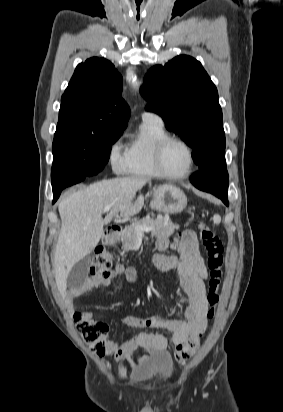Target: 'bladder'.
Here are the masks:
<instances>
[{
  "label": "bladder",
  "mask_w": 283,
  "mask_h": 412,
  "mask_svg": "<svg viewBox=\"0 0 283 412\" xmlns=\"http://www.w3.org/2000/svg\"><path fill=\"white\" fill-rule=\"evenodd\" d=\"M174 374V364L170 358H164L158 362L153 363L144 372L134 375V379L139 382H145L157 375L158 377L169 380Z\"/></svg>",
  "instance_id": "31cf9c89"
}]
</instances>
